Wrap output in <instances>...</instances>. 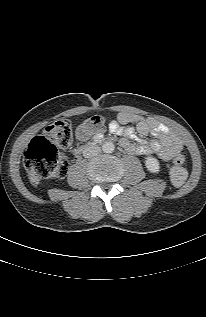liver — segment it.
Returning a JSON list of instances; mask_svg holds the SVG:
<instances>
[{
	"mask_svg": "<svg viewBox=\"0 0 206 317\" xmlns=\"http://www.w3.org/2000/svg\"><path fill=\"white\" fill-rule=\"evenodd\" d=\"M29 179L32 185L36 186L39 184L40 176L34 170H31L29 173Z\"/></svg>",
	"mask_w": 206,
	"mask_h": 317,
	"instance_id": "liver-1",
	"label": "liver"
}]
</instances>
